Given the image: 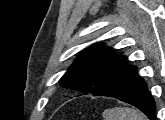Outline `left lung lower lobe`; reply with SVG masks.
I'll use <instances>...</instances> for the list:
<instances>
[{"mask_svg": "<svg viewBox=\"0 0 165 120\" xmlns=\"http://www.w3.org/2000/svg\"><path fill=\"white\" fill-rule=\"evenodd\" d=\"M108 96L129 103L141 110L150 120H156L155 102L146 82L137 74L136 67L131 66L120 86Z\"/></svg>", "mask_w": 165, "mask_h": 120, "instance_id": "1", "label": "left lung lower lobe"}]
</instances>
